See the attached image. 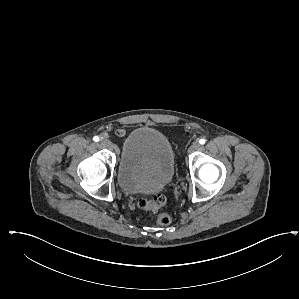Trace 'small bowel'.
<instances>
[{
  "label": "small bowel",
  "instance_id": "c3829d8e",
  "mask_svg": "<svg viewBox=\"0 0 299 299\" xmlns=\"http://www.w3.org/2000/svg\"><path fill=\"white\" fill-rule=\"evenodd\" d=\"M119 133L121 134V133H123V131H122V130H119Z\"/></svg>",
  "mask_w": 299,
  "mask_h": 299
}]
</instances>
